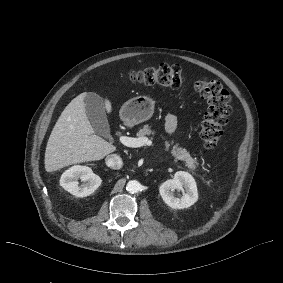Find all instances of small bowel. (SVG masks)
<instances>
[{
	"mask_svg": "<svg viewBox=\"0 0 283 283\" xmlns=\"http://www.w3.org/2000/svg\"><path fill=\"white\" fill-rule=\"evenodd\" d=\"M178 127V121L177 117L173 114H168L165 117V129L166 132L170 135H173L176 133Z\"/></svg>",
	"mask_w": 283,
	"mask_h": 283,
	"instance_id": "c3829d8e",
	"label": "small bowel"
}]
</instances>
